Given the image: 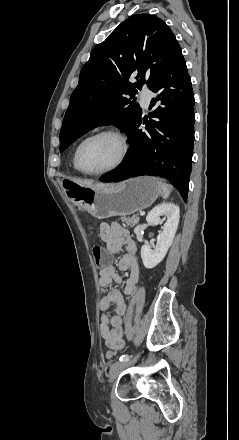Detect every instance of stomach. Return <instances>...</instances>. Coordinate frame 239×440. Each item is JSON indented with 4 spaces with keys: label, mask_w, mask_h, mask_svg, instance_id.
<instances>
[{
    "label": "stomach",
    "mask_w": 239,
    "mask_h": 440,
    "mask_svg": "<svg viewBox=\"0 0 239 440\" xmlns=\"http://www.w3.org/2000/svg\"><path fill=\"white\" fill-rule=\"evenodd\" d=\"M70 198L88 214L102 220L111 216H130L152 206L162 188L156 178L141 176L105 188H86L71 182Z\"/></svg>",
    "instance_id": "1"
}]
</instances>
